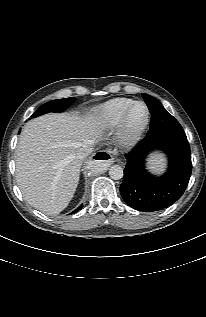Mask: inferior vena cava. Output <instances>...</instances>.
I'll return each mask as SVG.
<instances>
[{
  "instance_id": "inferior-vena-cava-1",
  "label": "inferior vena cava",
  "mask_w": 206,
  "mask_h": 317,
  "mask_svg": "<svg viewBox=\"0 0 206 317\" xmlns=\"http://www.w3.org/2000/svg\"><path fill=\"white\" fill-rule=\"evenodd\" d=\"M93 152V146L92 145H83L78 152H77V157L79 159H84L88 155H90Z\"/></svg>"
}]
</instances>
